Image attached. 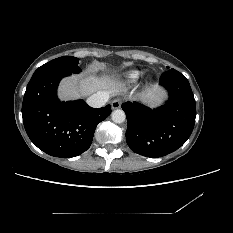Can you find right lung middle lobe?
Masks as SVG:
<instances>
[{
  "label": "right lung middle lobe",
  "mask_w": 233,
  "mask_h": 233,
  "mask_svg": "<svg viewBox=\"0 0 233 233\" xmlns=\"http://www.w3.org/2000/svg\"><path fill=\"white\" fill-rule=\"evenodd\" d=\"M55 70H63L69 74L79 73L78 58L72 56H62L40 66L33 75L48 73Z\"/></svg>",
  "instance_id": "1"
}]
</instances>
